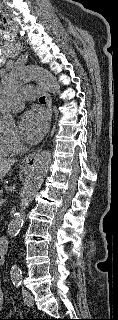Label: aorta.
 Returning <instances> with one entry per match:
<instances>
[{"label": "aorta", "mask_w": 118, "mask_h": 320, "mask_svg": "<svg viewBox=\"0 0 118 320\" xmlns=\"http://www.w3.org/2000/svg\"><path fill=\"white\" fill-rule=\"evenodd\" d=\"M30 81L39 82L55 95L60 93V85L51 72L40 66H26L21 69L12 70L3 78L0 86V97H5L18 86ZM16 126L17 119L15 116L6 111L0 113V129L13 130ZM51 161L52 154L49 150L42 151L36 157L22 190L19 209L8 225L7 233L10 237H15L20 232L26 219V208L31 204L43 184ZM10 277L12 280H20L22 278L21 269L17 265L12 266Z\"/></svg>", "instance_id": "aorta-1"}]
</instances>
